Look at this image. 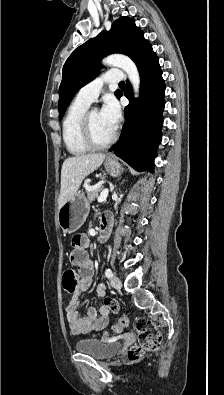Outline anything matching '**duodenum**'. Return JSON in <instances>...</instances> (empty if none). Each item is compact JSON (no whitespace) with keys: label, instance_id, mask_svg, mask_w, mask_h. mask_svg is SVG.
Masks as SVG:
<instances>
[{"label":"duodenum","instance_id":"410a0bca","mask_svg":"<svg viewBox=\"0 0 224 395\" xmlns=\"http://www.w3.org/2000/svg\"><path fill=\"white\" fill-rule=\"evenodd\" d=\"M113 226V217L109 213H105L102 215L100 224H99V231H98V240L100 243H105L112 232Z\"/></svg>","mask_w":224,"mask_h":395}]
</instances>
